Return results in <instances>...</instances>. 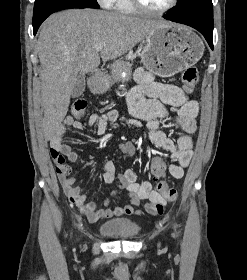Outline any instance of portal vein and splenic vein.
<instances>
[{
    "instance_id": "1",
    "label": "portal vein and splenic vein",
    "mask_w": 247,
    "mask_h": 280,
    "mask_svg": "<svg viewBox=\"0 0 247 280\" xmlns=\"http://www.w3.org/2000/svg\"><path fill=\"white\" fill-rule=\"evenodd\" d=\"M103 44L101 43V44H98V45H96L95 46V50L97 51V52H100L102 49H103Z\"/></svg>"
}]
</instances>
